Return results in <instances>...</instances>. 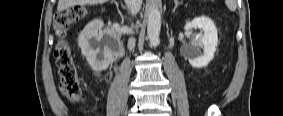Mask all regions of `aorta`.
Returning a JSON list of instances; mask_svg holds the SVG:
<instances>
[{
	"label": "aorta",
	"mask_w": 283,
	"mask_h": 116,
	"mask_svg": "<svg viewBox=\"0 0 283 116\" xmlns=\"http://www.w3.org/2000/svg\"><path fill=\"white\" fill-rule=\"evenodd\" d=\"M161 13L158 7V1L152 0L148 10L147 34L152 47L160 43Z\"/></svg>",
	"instance_id": "1"
}]
</instances>
